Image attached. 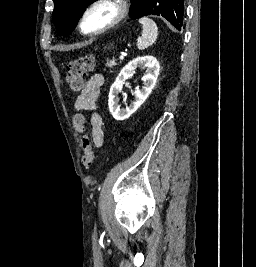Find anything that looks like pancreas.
I'll return each instance as SVG.
<instances>
[{
	"mask_svg": "<svg viewBox=\"0 0 256 267\" xmlns=\"http://www.w3.org/2000/svg\"><path fill=\"white\" fill-rule=\"evenodd\" d=\"M105 66H108V68H113V66H118V64H116L115 60H110V62H107Z\"/></svg>",
	"mask_w": 256,
	"mask_h": 267,
	"instance_id": "obj_1",
	"label": "pancreas"
}]
</instances>
